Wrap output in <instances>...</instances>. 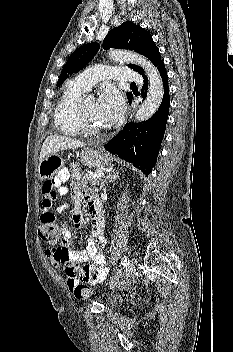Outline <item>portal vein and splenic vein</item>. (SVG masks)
<instances>
[{"instance_id": "1", "label": "portal vein and splenic vein", "mask_w": 233, "mask_h": 352, "mask_svg": "<svg viewBox=\"0 0 233 352\" xmlns=\"http://www.w3.org/2000/svg\"><path fill=\"white\" fill-rule=\"evenodd\" d=\"M90 176L94 178H101L104 176V173H90Z\"/></svg>"}]
</instances>
